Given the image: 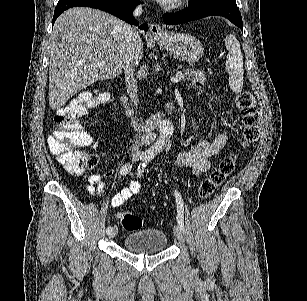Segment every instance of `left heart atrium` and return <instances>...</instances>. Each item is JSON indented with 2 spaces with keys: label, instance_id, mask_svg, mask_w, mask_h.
I'll use <instances>...</instances> for the list:
<instances>
[{
  "label": "left heart atrium",
  "instance_id": "39dd6f15",
  "mask_svg": "<svg viewBox=\"0 0 307 301\" xmlns=\"http://www.w3.org/2000/svg\"><path fill=\"white\" fill-rule=\"evenodd\" d=\"M178 0H160L161 4H177ZM124 62H131V61H124Z\"/></svg>",
  "mask_w": 307,
  "mask_h": 301
}]
</instances>
